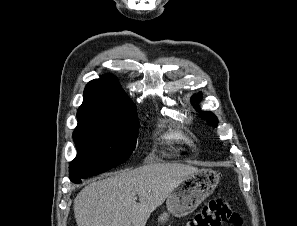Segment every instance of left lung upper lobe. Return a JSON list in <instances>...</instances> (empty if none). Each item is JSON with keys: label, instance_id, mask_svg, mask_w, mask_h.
Returning <instances> with one entry per match:
<instances>
[{"label": "left lung upper lobe", "instance_id": "obj_1", "mask_svg": "<svg viewBox=\"0 0 297 226\" xmlns=\"http://www.w3.org/2000/svg\"><path fill=\"white\" fill-rule=\"evenodd\" d=\"M200 99H201V93H198L197 95H194L191 98V101H192V103H194L196 101H199ZM197 111H199V110H197ZM200 113H201L202 117L207 121L208 124H210L214 127L217 126L218 120L213 113H211V112H200Z\"/></svg>", "mask_w": 297, "mask_h": 226}]
</instances>
